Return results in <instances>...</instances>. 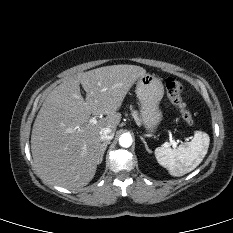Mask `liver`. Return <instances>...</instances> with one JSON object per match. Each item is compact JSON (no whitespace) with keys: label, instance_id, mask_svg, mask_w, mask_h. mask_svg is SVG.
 Instances as JSON below:
<instances>
[{"label":"liver","instance_id":"1","mask_svg":"<svg viewBox=\"0 0 233 233\" xmlns=\"http://www.w3.org/2000/svg\"><path fill=\"white\" fill-rule=\"evenodd\" d=\"M145 74L136 65L105 66L66 77L55 87L42 104L31 134V152L40 177L69 190L86 186L99 164L100 131L116 130L126 94ZM91 114L106 117L90 124Z\"/></svg>","mask_w":233,"mask_h":233}]
</instances>
